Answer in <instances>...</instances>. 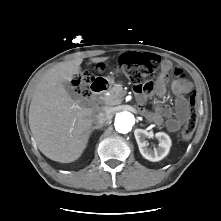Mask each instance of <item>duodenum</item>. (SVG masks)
<instances>
[{
	"mask_svg": "<svg viewBox=\"0 0 221 221\" xmlns=\"http://www.w3.org/2000/svg\"><path fill=\"white\" fill-rule=\"evenodd\" d=\"M109 87V83L105 79L97 78L93 81L90 89L94 95H102Z\"/></svg>",
	"mask_w": 221,
	"mask_h": 221,
	"instance_id": "obj_1",
	"label": "duodenum"
}]
</instances>
